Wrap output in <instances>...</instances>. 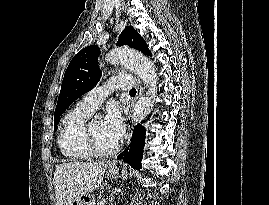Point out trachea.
<instances>
[{
	"mask_svg": "<svg viewBox=\"0 0 269 205\" xmlns=\"http://www.w3.org/2000/svg\"><path fill=\"white\" fill-rule=\"evenodd\" d=\"M129 94H133V95H135V94H136V90H135V89H131V90L129 91Z\"/></svg>",
	"mask_w": 269,
	"mask_h": 205,
	"instance_id": "obj_1",
	"label": "trachea"
}]
</instances>
